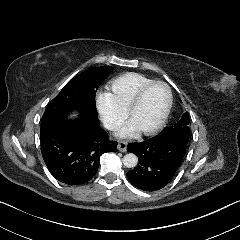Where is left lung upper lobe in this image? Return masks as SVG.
<instances>
[{
	"instance_id": "left-lung-upper-lobe-1",
	"label": "left lung upper lobe",
	"mask_w": 240,
	"mask_h": 240,
	"mask_svg": "<svg viewBox=\"0 0 240 240\" xmlns=\"http://www.w3.org/2000/svg\"><path fill=\"white\" fill-rule=\"evenodd\" d=\"M189 114L188 112H185L181 119L176 123L174 124L173 126L171 127H168V128H164L160 134H163V133H175V134H179V135H183V136H186V137H189L190 136V132H189Z\"/></svg>"
}]
</instances>
